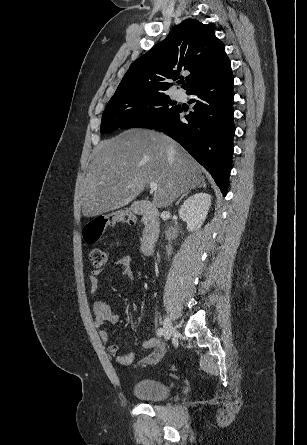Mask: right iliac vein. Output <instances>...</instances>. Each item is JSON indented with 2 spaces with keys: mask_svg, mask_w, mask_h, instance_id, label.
Returning <instances> with one entry per match:
<instances>
[{
  "mask_svg": "<svg viewBox=\"0 0 307 445\" xmlns=\"http://www.w3.org/2000/svg\"><path fill=\"white\" fill-rule=\"evenodd\" d=\"M163 330H164V332H163L164 338L166 340L170 339V337L172 336V334L174 332V327H173L171 319L168 316H166L164 319Z\"/></svg>",
  "mask_w": 307,
  "mask_h": 445,
  "instance_id": "1",
  "label": "right iliac vein"
}]
</instances>
